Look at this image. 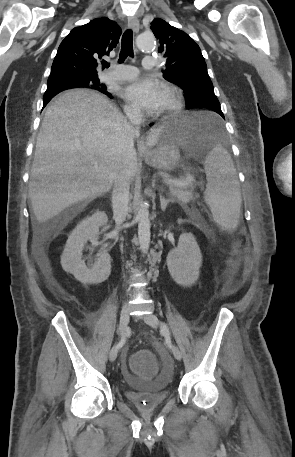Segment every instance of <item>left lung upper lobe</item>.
<instances>
[{
	"mask_svg": "<svg viewBox=\"0 0 295 457\" xmlns=\"http://www.w3.org/2000/svg\"><path fill=\"white\" fill-rule=\"evenodd\" d=\"M151 29L159 41L158 52L167 59L163 77L184 91L187 105L204 99L218 101L204 57L196 42L160 18L151 22Z\"/></svg>",
	"mask_w": 295,
	"mask_h": 457,
	"instance_id": "obj_1",
	"label": "left lung upper lobe"
}]
</instances>
